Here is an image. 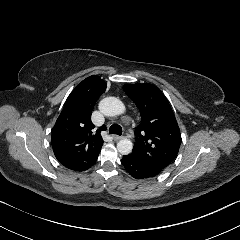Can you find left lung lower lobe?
Instances as JSON below:
<instances>
[{
	"mask_svg": "<svg viewBox=\"0 0 240 240\" xmlns=\"http://www.w3.org/2000/svg\"><path fill=\"white\" fill-rule=\"evenodd\" d=\"M122 164L128 173L137 179H145L158 175L162 170L144 166L142 163L134 160L130 155L123 156Z\"/></svg>",
	"mask_w": 240,
	"mask_h": 240,
	"instance_id": "0a47b994",
	"label": "left lung lower lobe"
}]
</instances>
